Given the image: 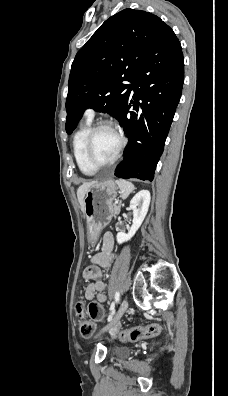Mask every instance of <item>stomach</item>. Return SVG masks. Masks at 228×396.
<instances>
[{
	"label": "stomach",
	"instance_id": "stomach-1",
	"mask_svg": "<svg viewBox=\"0 0 228 396\" xmlns=\"http://www.w3.org/2000/svg\"><path fill=\"white\" fill-rule=\"evenodd\" d=\"M117 188L112 180L93 182L86 190L84 209L88 227L89 241L94 244L102 229L113 216V201Z\"/></svg>",
	"mask_w": 228,
	"mask_h": 396
}]
</instances>
